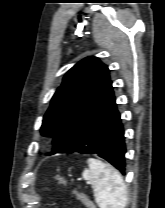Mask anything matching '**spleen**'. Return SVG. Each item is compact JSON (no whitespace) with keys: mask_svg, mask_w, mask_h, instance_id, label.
Returning <instances> with one entry per match:
<instances>
[{"mask_svg":"<svg viewBox=\"0 0 165 208\" xmlns=\"http://www.w3.org/2000/svg\"><path fill=\"white\" fill-rule=\"evenodd\" d=\"M88 167L82 176L91 183L97 205L100 208H125L127 190L121 174L94 158L88 159Z\"/></svg>","mask_w":165,"mask_h":208,"instance_id":"1","label":"spleen"}]
</instances>
